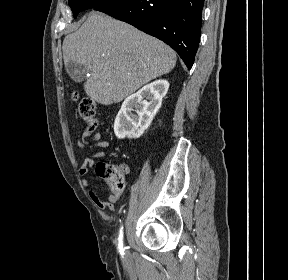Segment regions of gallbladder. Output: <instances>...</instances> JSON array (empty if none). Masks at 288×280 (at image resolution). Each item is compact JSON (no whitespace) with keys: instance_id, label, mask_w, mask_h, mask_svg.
<instances>
[{"instance_id":"1","label":"gallbladder","mask_w":288,"mask_h":280,"mask_svg":"<svg viewBox=\"0 0 288 280\" xmlns=\"http://www.w3.org/2000/svg\"><path fill=\"white\" fill-rule=\"evenodd\" d=\"M65 70L75 82H82L85 79L87 68L81 63L70 61L65 64Z\"/></svg>"}]
</instances>
